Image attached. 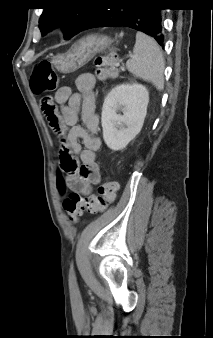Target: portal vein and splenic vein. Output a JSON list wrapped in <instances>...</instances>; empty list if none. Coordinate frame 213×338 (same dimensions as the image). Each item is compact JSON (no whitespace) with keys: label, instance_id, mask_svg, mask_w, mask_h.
I'll return each mask as SVG.
<instances>
[{"label":"portal vein and splenic vein","instance_id":"18ae733b","mask_svg":"<svg viewBox=\"0 0 213 338\" xmlns=\"http://www.w3.org/2000/svg\"><path fill=\"white\" fill-rule=\"evenodd\" d=\"M130 57H132V55H128V56H127V58H130ZM117 65H119V64H117Z\"/></svg>","mask_w":213,"mask_h":338}]
</instances>
